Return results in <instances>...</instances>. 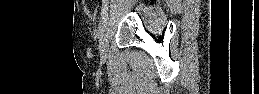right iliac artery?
I'll list each match as a JSON object with an SVG mask.
<instances>
[{"label":"right iliac artery","mask_w":259,"mask_h":94,"mask_svg":"<svg viewBox=\"0 0 259 94\" xmlns=\"http://www.w3.org/2000/svg\"><path fill=\"white\" fill-rule=\"evenodd\" d=\"M106 0H104V4L102 6V10H101V18H100V23H99V31H102V28L106 22V16H107V10H108V6H107V2H105Z\"/></svg>","instance_id":"right-iliac-artery-1"}]
</instances>
